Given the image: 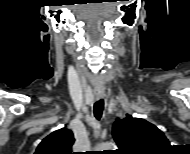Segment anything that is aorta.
<instances>
[{
    "label": "aorta",
    "mask_w": 190,
    "mask_h": 154,
    "mask_svg": "<svg viewBox=\"0 0 190 154\" xmlns=\"http://www.w3.org/2000/svg\"><path fill=\"white\" fill-rule=\"evenodd\" d=\"M114 144L112 142H104L99 145V149L103 150H112L114 148Z\"/></svg>",
    "instance_id": "obj_1"
}]
</instances>
